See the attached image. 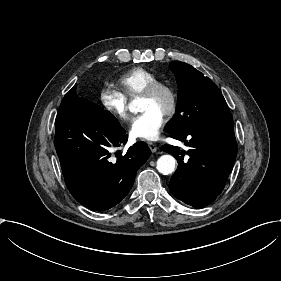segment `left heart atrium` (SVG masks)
<instances>
[{"label": "left heart atrium", "instance_id": "left-heart-atrium-1", "mask_svg": "<svg viewBox=\"0 0 281 281\" xmlns=\"http://www.w3.org/2000/svg\"><path fill=\"white\" fill-rule=\"evenodd\" d=\"M164 125V116L153 110H146L132 122L129 133L132 137L146 141H156L160 138Z\"/></svg>", "mask_w": 281, "mask_h": 281}]
</instances>
